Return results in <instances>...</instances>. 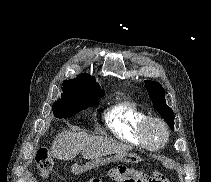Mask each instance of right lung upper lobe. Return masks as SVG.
<instances>
[{"label":"right lung upper lobe","instance_id":"right-lung-upper-lobe-1","mask_svg":"<svg viewBox=\"0 0 211 182\" xmlns=\"http://www.w3.org/2000/svg\"><path fill=\"white\" fill-rule=\"evenodd\" d=\"M74 83L75 85L92 89L99 93H105L96 82L95 77L90 76L88 73H82L75 79L65 80Z\"/></svg>","mask_w":211,"mask_h":182}]
</instances>
